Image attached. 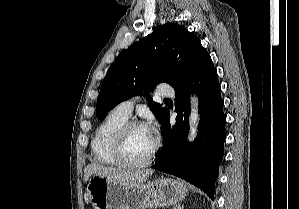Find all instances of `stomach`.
<instances>
[{"label": "stomach", "mask_w": 299, "mask_h": 209, "mask_svg": "<svg viewBox=\"0 0 299 209\" xmlns=\"http://www.w3.org/2000/svg\"><path fill=\"white\" fill-rule=\"evenodd\" d=\"M188 193L187 186L169 178L146 184H118L100 175H93L87 195L94 209H151L180 202Z\"/></svg>", "instance_id": "1"}]
</instances>
